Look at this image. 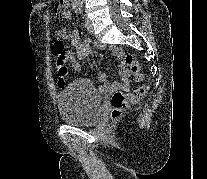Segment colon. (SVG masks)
Here are the masks:
<instances>
[{
  "mask_svg": "<svg viewBox=\"0 0 207 179\" xmlns=\"http://www.w3.org/2000/svg\"><path fill=\"white\" fill-rule=\"evenodd\" d=\"M68 0H55L54 1V14L56 18H61L65 10L67 9ZM54 52H55V71L59 77L60 84H65L66 75L68 73L67 57L64 52V45L61 38L54 36ZM122 62L125 66L129 67L136 82L142 83L144 76L139 69V65L131 54H124ZM148 91V85L142 84L136 87L132 92L126 93L121 90L115 91L110 99L112 112V118H118L130 103L137 102L140 100Z\"/></svg>",
  "mask_w": 207,
  "mask_h": 179,
  "instance_id": "obj_1",
  "label": "colon"
}]
</instances>
